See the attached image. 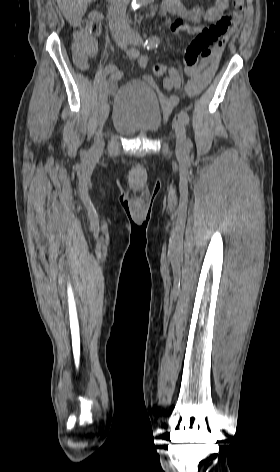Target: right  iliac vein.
Listing matches in <instances>:
<instances>
[{"label":"right iliac vein","mask_w":280,"mask_h":472,"mask_svg":"<svg viewBox=\"0 0 280 472\" xmlns=\"http://www.w3.org/2000/svg\"><path fill=\"white\" fill-rule=\"evenodd\" d=\"M128 43H129V39L126 36L120 37L118 39V44L122 48H126ZM109 109L110 108H109L108 103L105 102L103 105H101L100 110H99V131L97 133L94 145L91 148V155L94 156V157H97V156L101 155L102 150H103L104 140H103V136H102V128H103V126H104V124H105V122L108 118Z\"/></svg>","instance_id":"63e3f726"}]
</instances>
